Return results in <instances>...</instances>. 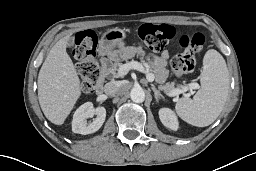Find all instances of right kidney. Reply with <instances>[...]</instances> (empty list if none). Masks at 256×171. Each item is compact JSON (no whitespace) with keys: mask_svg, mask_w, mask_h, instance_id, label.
<instances>
[{"mask_svg":"<svg viewBox=\"0 0 256 171\" xmlns=\"http://www.w3.org/2000/svg\"><path fill=\"white\" fill-rule=\"evenodd\" d=\"M97 117L92 123L87 124L86 119L89 117ZM106 118V109L104 107L94 108L91 102L84 103L74 113L72 120V131L82 135L92 134L98 131L103 125Z\"/></svg>","mask_w":256,"mask_h":171,"instance_id":"1","label":"right kidney"}]
</instances>
